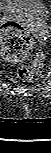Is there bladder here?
<instances>
[{
    "instance_id": "bladder-1",
    "label": "bladder",
    "mask_w": 51,
    "mask_h": 153,
    "mask_svg": "<svg viewBox=\"0 0 51 153\" xmlns=\"http://www.w3.org/2000/svg\"><path fill=\"white\" fill-rule=\"evenodd\" d=\"M1 9L10 14L45 18L48 14L43 0H0Z\"/></svg>"
}]
</instances>
